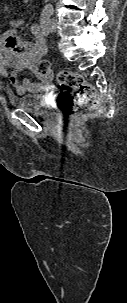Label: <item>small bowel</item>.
Listing matches in <instances>:
<instances>
[{"label": "small bowel", "mask_w": 127, "mask_h": 303, "mask_svg": "<svg viewBox=\"0 0 127 303\" xmlns=\"http://www.w3.org/2000/svg\"><path fill=\"white\" fill-rule=\"evenodd\" d=\"M10 29L0 34V76L5 78L19 94L37 92L49 87V75L38 72L35 63L47 54L46 39L41 24L31 26L33 40H23L18 29L23 25L21 19H12ZM15 40V42H14ZM31 71L37 78L19 81V74Z\"/></svg>", "instance_id": "c3829d8e"}]
</instances>
